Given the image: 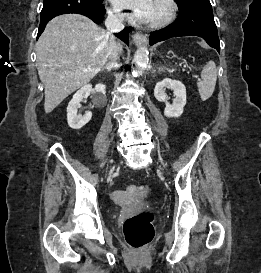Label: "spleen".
Listing matches in <instances>:
<instances>
[{
  "mask_svg": "<svg viewBox=\"0 0 261 273\" xmlns=\"http://www.w3.org/2000/svg\"><path fill=\"white\" fill-rule=\"evenodd\" d=\"M201 78L202 79L197 82V86L201 100L205 101L212 96L215 90L217 69L214 61L206 63L201 71Z\"/></svg>",
  "mask_w": 261,
  "mask_h": 273,
  "instance_id": "3e777b00",
  "label": "spleen"
}]
</instances>
